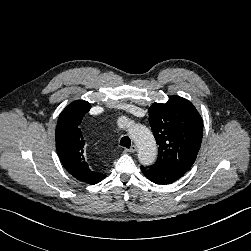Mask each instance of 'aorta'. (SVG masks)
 Returning a JSON list of instances; mask_svg holds the SVG:
<instances>
[{
  "label": "aorta",
  "mask_w": 251,
  "mask_h": 251,
  "mask_svg": "<svg viewBox=\"0 0 251 251\" xmlns=\"http://www.w3.org/2000/svg\"><path fill=\"white\" fill-rule=\"evenodd\" d=\"M130 136L138 147V159L144 166L152 165L156 160V141L151 131L143 125L130 129Z\"/></svg>",
  "instance_id": "1"
}]
</instances>
